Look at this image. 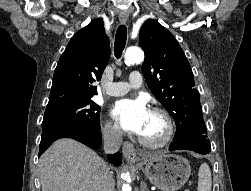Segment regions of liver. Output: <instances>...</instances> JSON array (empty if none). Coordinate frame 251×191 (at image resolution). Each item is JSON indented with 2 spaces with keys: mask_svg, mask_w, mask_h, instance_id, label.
<instances>
[{
  "mask_svg": "<svg viewBox=\"0 0 251 191\" xmlns=\"http://www.w3.org/2000/svg\"><path fill=\"white\" fill-rule=\"evenodd\" d=\"M38 171L42 191H101L103 175H111L96 151L68 137L57 139L42 153Z\"/></svg>",
  "mask_w": 251,
  "mask_h": 191,
  "instance_id": "6515ba94",
  "label": "liver"
}]
</instances>
